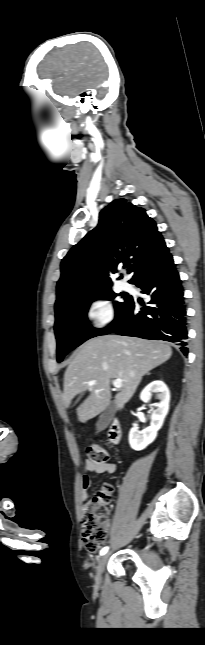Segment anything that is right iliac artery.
I'll use <instances>...</instances> for the list:
<instances>
[{"mask_svg":"<svg viewBox=\"0 0 205 645\" xmlns=\"http://www.w3.org/2000/svg\"><path fill=\"white\" fill-rule=\"evenodd\" d=\"M108 549H109L108 547H104V548H102V549H101V551H100V555H104V554H106V553H107V551H108Z\"/></svg>","mask_w":205,"mask_h":645,"instance_id":"right-iliac-artery-1","label":"right iliac artery"}]
</instances>
